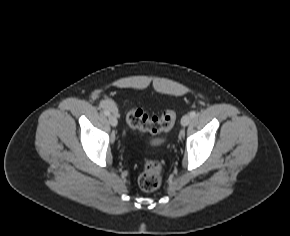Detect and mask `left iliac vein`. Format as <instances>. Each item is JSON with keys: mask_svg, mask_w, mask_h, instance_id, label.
<instances>
[{"mask_svg": "<svg viewBox=\"0 0 290 236\" xmlns=\"http://www.w3.org/2000/svg\"><path fill=\"white\" fill-rule=\"evenodd\" d=\"M190 121H191V116L186 114L181 119V125L185 127L190 123Z\"/></svg>", "mask_w": 290, "mask_h": 236, "instance_id": "1", "label": "left iliac vein"}]
</instances>
